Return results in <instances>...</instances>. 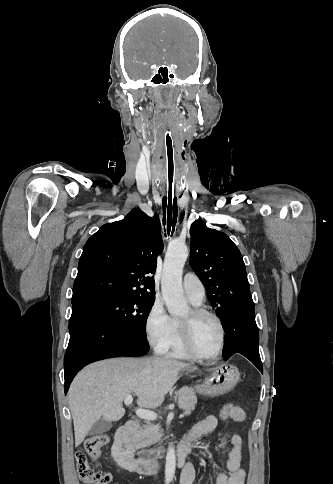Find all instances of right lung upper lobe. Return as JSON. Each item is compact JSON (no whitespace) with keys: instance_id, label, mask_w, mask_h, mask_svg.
<instances>
[{"instance_id":"1","label":"right lung upper lobe","mask_w":333,"mask_h":484,"mask_svg":"<svg viewBox=\"0 0 333 484\" xmlns=\"http://www.w3.org/2000/svg\"><path fill=\"white\" fill-rule=\"evenodd\" d=\"M159 217L134 209L103 225L83 248L72 303L91 293L154 297L157 256L163 250Z\"/></svg>"}]
</instances>
